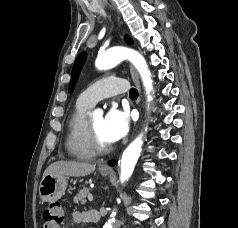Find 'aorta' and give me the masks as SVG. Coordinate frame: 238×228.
Segmentation results:
<instances>
[{"label":"aorta","mask_w":238,"mask_h":228,"mask_svg":"<svg viewBox=\"0 0 238 228\" xmlns=\"http://www.w3.org/2000/svg\"><path fill=\"white\" fill-rule=\"evenodd\" d=\"M123 60H129L137 69L145 89L147 102L150 103L153 100V80L146 60L139 52L126 47H113L98 55L95 66L98 70H106L116 66ZM142 145L143 133L139 134L124 150L119 162L121 183L131 177L140 156ZM114 224L115 218L114 215H111V218L105 222L103 228H113Z\"/></svg>","instance_id":"762f6f07"}]
</instances>
